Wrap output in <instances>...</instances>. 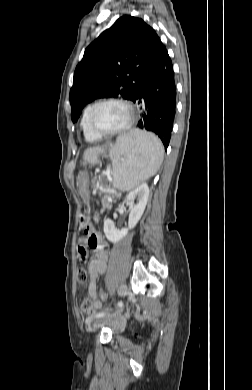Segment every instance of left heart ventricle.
Listing matches in <instances>:
<instances>
[{
    "label": "left heart ventricle",
    "mask_w": 252,
    "mask_h": 390,
    "mask_svg": "<svg viewBox=\"0 0 252 390\" xmlns=\"http://www.w3.org/2000/svg\"><path fill=\"white\" fill-rule=\"evenodd\" d=\"M128 118V110L123 105L106 103L97 109L95 123L104 131H113L125 125Z\"/></svg>",
    "instance_id": "left-heart-ventricle-1"
}]
</instances>
